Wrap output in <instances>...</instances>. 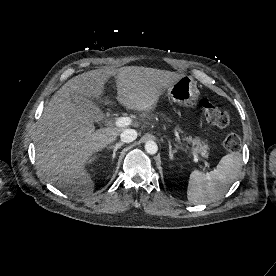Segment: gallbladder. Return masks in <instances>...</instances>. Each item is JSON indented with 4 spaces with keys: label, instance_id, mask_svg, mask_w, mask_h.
Returning <instances> with one entry per match:
<instances>
[{
    "label": "gallbladder",
    "instance_id": "gallbladder-1",
    "mask_svg": "<svg viewBox=\"0 0 276 276\" xmlns=\"http://www.w3.org/2000/svg\"><path fill=\"white\" fill-rule=\"evenodd\" d=\"M72 102L89 115L93 121H101L104 114L98 106L97 100H92L82 95H71Z\"/></svg>",
    "mask_w": 276,
    "mask_h": 276
}]
</instances>
